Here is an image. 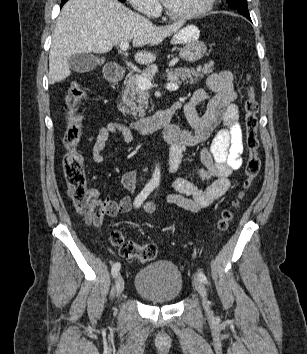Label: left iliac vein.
<instances>
[{
	"mask_svg": "<svg viewBox=\"0 0 307 354\" xmlns=\"http://www.w3.org/2000/svg\"><path fill=\"white\" fill-rule=\"evenodd\" d=\"M194 286L202 298L203 306H204L206 312L209 313L210 312L209 301L207 298V292H206L204 284L202 283V281L200 279L195 278L194 279Z\"/></svg>",
	"mask_w": 307,
	"mask_h": 354,
	"instance_id": "obj_1",
	"label": "left iliac vein"
}]
</instances>
